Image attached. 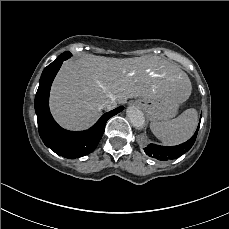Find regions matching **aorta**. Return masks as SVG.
Wrapping results in <instances>:
<instances>
[{"mask_svg": "<svg viewBox=\"0 0 229 229\" xmlns=\"http://www.w3.org/2000/svg\"><path fill=\"white\" fill-rule=\"evenodd\" d=\"M127 117L130 121V123L136 128V129H142L145 125V117L141 110L138 108L131 106L126 111Z\"/></svg>", "mask_w": 229, "mask_h": 229, "instance_id": "aorta-1", "label": "aorta"}]
</instances>
